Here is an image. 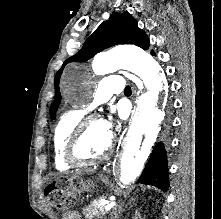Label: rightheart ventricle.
<instances>
[{"label": "right heart ventricle", "instance_id": "1", "mask_svg": "<svg viewBox=\"0 0 221 219\" xmlns=\"http://www.w3.org/2000/svg\"><path fill=\"white\" fill-rule=\"evenodd\" d=\"M84 113L79 110L67 111L58 119L52 136L54 166L58 171H66L72 166L65 160L66 143L75 127L80 123Z\"/></svg>", "mask_w": 221, "mask_h": 219}]
</instances>
